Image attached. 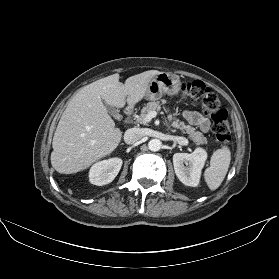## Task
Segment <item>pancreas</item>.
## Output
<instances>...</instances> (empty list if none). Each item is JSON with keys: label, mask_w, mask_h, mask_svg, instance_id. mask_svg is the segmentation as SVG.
Listing matches in <instances>:
<instances>
[{"label": "pancreas", "mask_w": 279, "mask_h": 279, "mask_svg": "<svg viewBox=\"0 0 279 279\" xmlns=\"http://www.w3.org/2000/svg\"><path fill=\"white\" fill-rule=\"evenodd\" d=\"M165 103H166V100H163L162 104L164 105ZM160 109H161V104L159 102L147 103V105L145 107H143V109L141 110L140 115L137 117V121L141 124H145L144 119H145L146 115L150 111L156 112V111H160ZM165 111L169 112V108H166ZM167 119L169 122L172 123V126L174 128L180 129L183 133H187L189 139L194 141L197 145L207 143V138L204 137V135L201 132L196 131L195 128H193L189 125H185L184 122H180L179 119L176 117V113L169 114L167 116Z\"/></svg>", "instance_id": "pancreas-1"}]
</instances>
